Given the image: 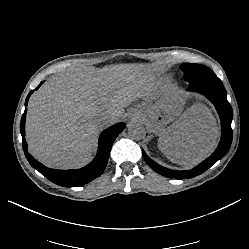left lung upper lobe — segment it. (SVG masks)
I'll list each match as a JSON object with an SVG mask.
<instances>
[{
    "mask_svg": "<svg viewBox=\"0 0 249 249\" xmlns=\"http://www.w3.org/2000/svg\"><path fill=\"white\" fill-rule=\"evenodd\" d=\"M180 67L189 86L207 81H221L213 71L204 65L184 63Z\"/></svg>",
    "mask_w": 249,
    "mask_h": 249,
    "instance_id": "left-lung-upper-lobe-1",
    "label": "left lung upper lobe"
}]
</instances>
